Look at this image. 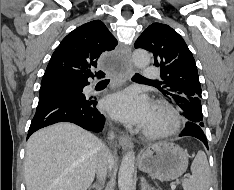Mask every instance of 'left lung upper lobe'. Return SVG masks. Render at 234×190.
<instances>
[{
  "instance_id": "left-lung-upper-lobe-1",
  "label": "left lung upper lobe",
  "mask_w": 234,
  "mask_h": 190,
  "mask_svg": "<svg viewBox=\"0 0 234 190\" xmlns=\"http://www.w3.org/2000/svg\"><path fill=\"white\" fill-rule=\"evenodd\" d=\"M135 48L153 53L165 83L160 90L177 104L188 121L204 125L198 71L183 38L170 26L153 23L138 37Z\"/></svg>"
}]
</instances>
